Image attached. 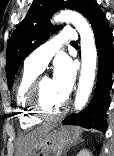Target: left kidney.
Returning a JSON list of instances; mask_svg holds the SVG:
<instances>
[{
  "mask_svg": "<svg viewBox=\"0 0 114 156\" xmlns=\"http://www.w3.org/2000/svg\"><path fill=\"white\" fill-rule=\"evenodd\" d=\"M77 156H92V154L87 149H82L81 151H79Z\"/></svg>",
  "mask_w": 114,
  "mask_h": 156,
  "instance_id": "left-kidney-1",
  "label": "left kidney"
}]
</instances>
